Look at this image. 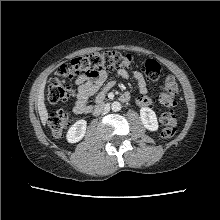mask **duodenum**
<instances>
[{
    "label": "duodenum",
    "instance_id": "obj_1",
    "mask_svg": "<svg viewBox=\"0 0 220 220\" xmlns=\"http://www.w3.org/2000/svg\"><path fill=\"white\" fill-rule=\"evenodd\" d=\"M120 101L122 102H128L129 101V95L128 94H122L119 97ZM105 108V103L103 101H100L97 106L93 110V114H99L103 109Z\"/></svg>",
    "mask_w": 220,
    "mask_h": 220
}]
</instances>
